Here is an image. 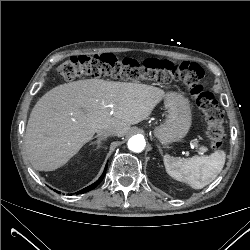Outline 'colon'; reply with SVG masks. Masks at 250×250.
I'll list each match as a JSON object with an SVG mask.
<instances>
[{
  "label": "colon",
  "mask_w": 250,
  "mask_h": 250,
  "mask_svg": "<svg viewBox=\"0 0 250 250\" xmlns=\"http://www.w3.org/2000/svg\"><path fill=\"white\" fill-rule=\"evenodd\" d=\"M65 80L82 76L111 77L131 80H149L161 84L183 82L205 116L207 136L214 149L221 148L225 140L223 112L213 94L203 85L204 71L192 62H175L167 59L118 58L113 54L73 56L58 67Z\"/></svg>",
  "instance_id": "5ec220e1"
}]
</instances>
